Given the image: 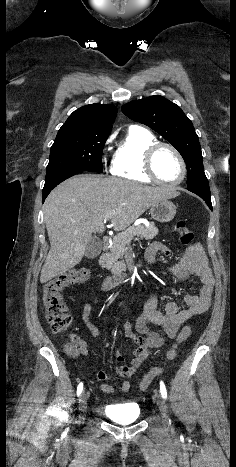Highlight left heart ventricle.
<instances>
[{
  "instance_id": "b2bd125f",
  "label": "left heart ventricle",
  "mask_w": 236,
  "mask_h": 467,
  "mask_svg": "<svg viewBox=\"0 0 236 467\" xmlns=\"http://www.w3.org/2000/svg\"><path fill=\"white\" fill-rule=\"evenodd\" d=\"M155 170L159 178L166 182L177 181L182 173L178 158L167 148H162L157 153L155 158Z\"/></svg>"
}]
</instances>
